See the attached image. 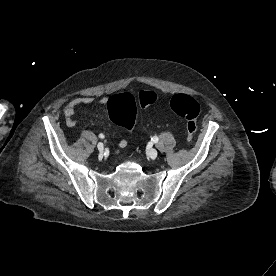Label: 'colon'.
<instances>
[{
    "mask_svg": "<svg viewBox=\"0 0 276 276\" xmlns=\"http://www.w3.org/2000/svg\"><path fill=\"white\" fill-rule=\"evenodd\" d=\"M155 101L156 94L152 90L140 91L137 99L131 93L116 94L108 100V114L114 123L132 130L135 125L137 105L147 108ZM170 107L175 114L187 121L188 141L192 142L197 130L200 104L193 97L179 93L172 97Z\"/></svg>",
    "mask_w": 276,
    "mask_h": 276,
    "instance_id": "1",
    "label": "colon"
}]
</instances>
